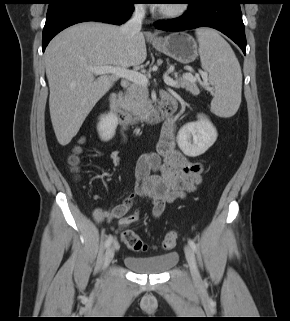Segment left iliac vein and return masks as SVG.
Returning a JSON list of instances; mask_svg holds the SVG:
<instances>
[{
	"label": "left iliac vein",
	"instance_id": "4c4485c4",
	"mask_svg": "<svg viewBox=\"0 0 290 321\" xmlns=\"http://www.w3.org/2000/svg\"><path fill=\"white\" fill-rule=\"evenodd\" d=\"M185 255H186L187 262L189 264L191 276H192L194 283L197 285H202V278H201L199 270H198V266H197L194 252H193L192 248L188 245L185 246Z\"/></svg>",
	"mask_w": 290,
	"mask_h": 321
}]
</instances>
